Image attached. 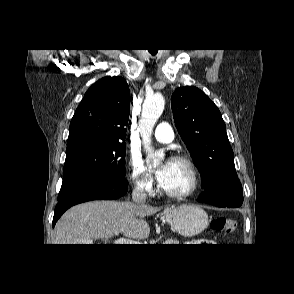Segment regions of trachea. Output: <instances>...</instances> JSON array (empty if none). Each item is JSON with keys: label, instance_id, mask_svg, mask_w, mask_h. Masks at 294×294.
Segmentation results:
<instances>
[{"label": "trachea", "instance_id": "trachea-1", "mask_svg": "<svg viewBox=\"0 0 294 294\" xmlns=\"http://www.w3.org/2000/svg\"><path fill=\"white\" fill-rule=\"evenodd\" d=\"M149 52L152 54V55H155L157 53V51L155 50H149Z\"/></svg>", "mask_w": 294, "mask_h": 294}]
</instances>
